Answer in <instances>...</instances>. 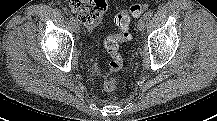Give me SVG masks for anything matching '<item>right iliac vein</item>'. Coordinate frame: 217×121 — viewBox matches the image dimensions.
I'll return each instance as SVG.
<instances>
[{
	"label": "right iliac vein",
	"instance_id": "1",
	"mask_svg": "<svg viewBox=\"0 0 217 121\" xmlns=\"http://www.w3.org/2000/svg\"><path fill=\"white\" fill-rule=\"evenodd\" d=\"M72 27H73L74 32H76V33L79 32V25H78L77 21L72 23Z\"/></svg>",
	"mask_w": 217,
	"mask_h": 121
}]
</instances>
